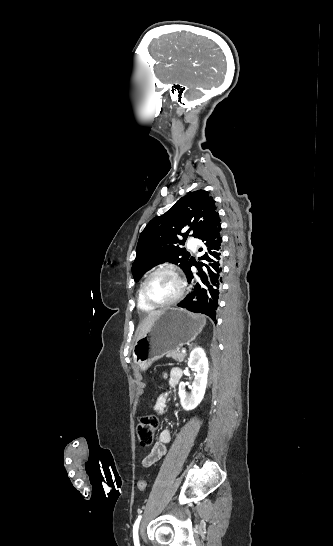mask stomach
Wrapping results in <instances>:
<instances>
[{
	"mask_svg": "<svg viewBox=\"0 0 333 546\" xmlns=\"http://www.w3.org/2000/svg\"><path fill=\"white\" fill-rule=\"evenodd\" d=\"M206 320L184 309L169 308L152 324L149 331L137 339L133 347V361L142 370L169 352L196 339Z\"/></svg>",
	"mask_w": 333,
	"mask_h": 546,
	"instance_id": "stomach-1",
	"label": "stomach"
}]
</instances>
